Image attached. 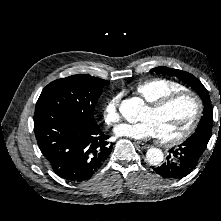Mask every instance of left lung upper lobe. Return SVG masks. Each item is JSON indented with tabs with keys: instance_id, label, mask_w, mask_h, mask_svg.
<instances>
[{
	"instance_id": "left-lung-upper-lobe-1",
	"label": "left lung upper lobe",
	"mask_w": 221,
	"mask_h": 221,
	"mask_svg": "<svg viewBox=\"0 0 221 221\" xmlns=\"http://www.w3.org/2000/svg\"><path fill=\"white\" fill-rule=\"evenodd\" d=\"M151 71L169 76H176L177 78L190 85L198 93L204 103V112L195 133H211L213 125V108L210 101L209 93L207 89L203 86V84L192 74L178 69L161 66L153 68Z\"/></svg>"
}]
</instances>
